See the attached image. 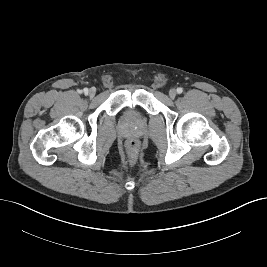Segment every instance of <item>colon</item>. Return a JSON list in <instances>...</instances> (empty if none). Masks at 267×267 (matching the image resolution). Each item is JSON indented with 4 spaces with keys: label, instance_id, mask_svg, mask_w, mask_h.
Listing matches in <instances>:
<instances>
[{
    "label": "colon",
    "instance_id": "colon-1",
    "mask_svg": "<svg viewBox=\"0 0 267 267\" xmlns=\"http://www.w3.org/2000/svg\"><path fill=\"white\" fill-rule=\"evenodd\" d=\"M128 150L131 156H135L138 151V143L135 140H132L128 144Z\"/></svg>",
    "mask_w": 267,
    "mask_h": 267
}]
</instances>
